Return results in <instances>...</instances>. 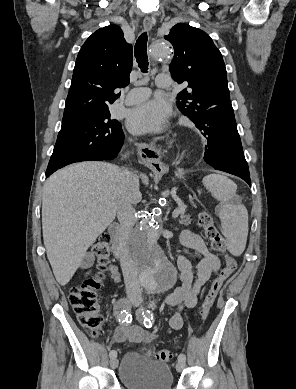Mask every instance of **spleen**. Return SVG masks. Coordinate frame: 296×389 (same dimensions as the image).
<instances>
[{"instance_id": "spleen-1", "label": "spleen", "mask_w": 296, "mask_h": 389, "mask_svg": "<svg viewBox=\"0 0 296 389\" xmlns=\"http://www.w3.org/2000/svg\"><path fill=\"white\" fill-rule=\"evenodd\" d=\"M202 183L221 202L219 218L228 251L234 256H240L247 242L248 212L236 195L237 185L224 175L216 173L205 176Z\"/></svg>"}]
</instances>
